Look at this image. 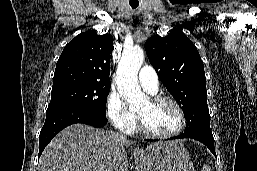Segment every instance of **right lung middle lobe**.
Returning <instances> with one entry per match:
<instances>
[{
    "label": "right lung middle lobe",
    "mask_w": 257,
    "mask_h": 171,
    "mask_svg": "<svg viewBox=\"0 0 257 171\" xmlns=\"http://www.w3.org/2000/svg\"><path fill=\"white\" fill-rule=\"evenodd\" d=\"M110 84L75 83L52 89L48 109L79 106L106 117V101Z\"/></svg>",
    "instance_id": "right-lung-middle-lobe-1"
}]
</instances>
